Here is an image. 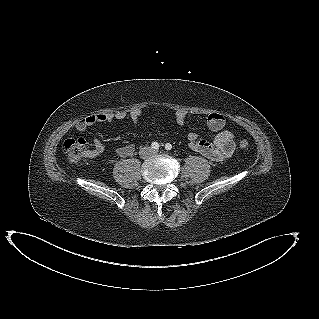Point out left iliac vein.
<instances>
[{"instance_id": "4c4485c4", "label": "left iliac vein", "mask_w": 319, "mask_h": 319, "mask_svg": "<svg viewBox=\"0 0 319 319\" xmlns=\"http://www.w3.org/2000/svg\"><path fill=\"white\" fill-rule=\"evenodd\" d=\"M157 152H158L157 150H154V151H153V153H157Z\"/></svg>"}]
</instances>
